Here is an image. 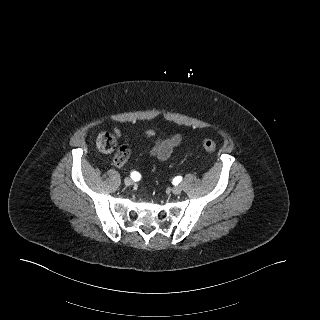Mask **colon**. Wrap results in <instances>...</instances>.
I'll return each instance as SVG.
<instances>
[{"label":"colon","mask_w":320,"mask_h":320,"mask_svg":"<svg viewBox=\"0 0 320 320\" xmlns=\"http://www.w3.org/2000/svg\"><path fill=\"white\" fill-rule=\"evenodd\" d=\"M96 142L98 148L105 153L112 152L116 147V141L114 136L107 132L100 133L97 137ZM202 146L204 150L209 153L215 152L216 150V143L211 139H204L202 141ZM128 158V151L125 148L121 147L114 156V162L116 165L119 166L125 163Z\"/></svg>","instance_id":"5ec220e1"}]
</instances>
